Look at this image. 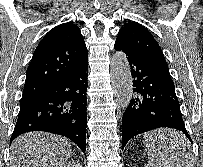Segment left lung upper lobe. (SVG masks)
I'll list each match as a JSON object with an SVG mask.
<instances>
[{"label": "left lung upper lobe", "mask_w": 203, "mask_h": 167, "mask_svg": "<svg viewBox=\"0 0 203 167\" xmlns=\"http://www.w3.org/2000/svg\"><path fill=\"white\" fill-rule=\"evenodd\" d=\"M116 42L155 63L168 66L159 44L151 33L137 22L124 24L119 30Z\"/></svg>", "instance_id": "left-lung-upper-lobe-1"}]
</instances>
